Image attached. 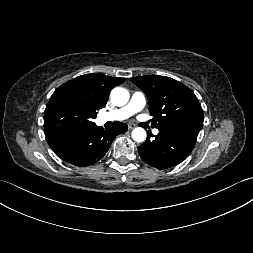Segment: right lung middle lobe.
I'll return each instance as SVG.
<instances>
[{
	"label": "right lung middle lobe",
	"instance_id": "dd1d6c3e",
	"mask_svg": "<svg viewBox=\"0 0 253 253\" xmlns=\"http://www.w3.org/2000/svg\"><path fill=\"white\" fill-rule=\"evenodd\" d=\"M96 114L74 92L56 89L44 111L45 136L90 127Z\"/></svg>",
	"mask_w": 253,
	"mask_h": 253
}]
</instances>
